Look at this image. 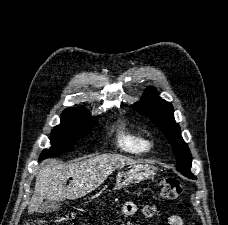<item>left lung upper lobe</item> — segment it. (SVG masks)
<instances>
[{
  "label": "left lung upper lobe",
  "instance_id": "left-lung-upper-lobe-1",
  "mask_svg": "<svg viewBox=\"0 0 228 225\" xmlns=\"http://www.w3.org/2000/svg\"><path fill=\"white\" fill-rule=\"evenodd\" d=\"M153 87L145 90L143 98L132 105L140 114L149 117L165 134L177 159V170L190 179L196 177L191 173L192 158L187 144L180 134V127L174 120V109L171 103L157 97Z\"/></svg>",
  "mask_w": 228,
  "mask_h": 225
}]
</instances>
